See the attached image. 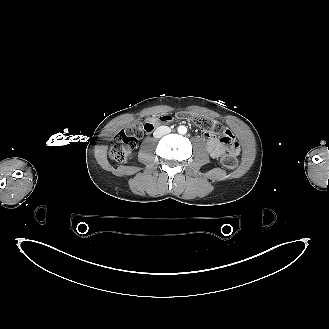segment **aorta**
Masks as SVG:
<instances>
[{
	"label": "aorta",
	"instance_id": "aorta-1",
	"mask_svg": "<svg viewBox=\"0 0 329 329\" xmlns=\"http://www.w3.org/2000/svg\"><path fill=\"white\" fill-rule=\"evenodd\" d=\"M178 133L179 134H183V135L186 134L187 133V128L185 126H183V125L182 126H179L178 127Z\"/></svg>",
	"mask_w": 329,
	"mask_h": 329
}]
</instances>
